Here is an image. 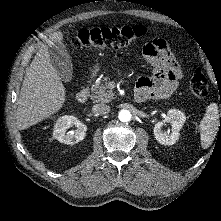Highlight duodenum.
<instances>
[{
    "mask_svg": "<svg viewBox=\"0 0 221 221\" xmlns=\"http://www.w3.org/2000/svg\"><path fill=\"white\" fill-rule=\"evenodd\" d=\"M89 97V90L87 87L82 88L77 94H76V100L79 103H85ZM134 98L137 102H143L146 100L145 96L140 93H135Z\"/></svg>",
    "mask_w": 221,
    "mask_h": 221,
    "instance_id": "duodenum-1",
    "label": "duodenum"
}]
</instances>
